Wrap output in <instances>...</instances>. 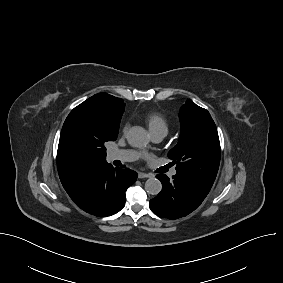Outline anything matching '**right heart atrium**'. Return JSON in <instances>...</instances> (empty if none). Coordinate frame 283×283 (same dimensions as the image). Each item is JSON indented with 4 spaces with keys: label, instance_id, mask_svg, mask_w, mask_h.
I'll return each instance as SVG.
<instances>
[{
    "label": "right heart atrium",
    "instance_id": "d8ad5b80",
    "mask_svg": "<svg viewBox=\"0 0 283 283\" xmlns=\"http://www.w3.org/2000/svg\"><path fill=\"white\" fill-rule=\"evenodd\" d=\"M128 128H129V123L128 122L124 123L123 126H122V132L126 133Z\"/></svg>",
    "mask_w": 283,
    "mask_h": 283
}]
</instances>
